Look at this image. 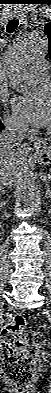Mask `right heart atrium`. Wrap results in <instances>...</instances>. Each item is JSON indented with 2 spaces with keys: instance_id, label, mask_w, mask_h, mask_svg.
<instances>
[{
  "instance_id": "right-heart-atrium-1",
  "label": "right heart atrium",
  "mask_w": 51,
  "mask_h": 393,
  "mask_svg": "<svg viewBox=\"0 0 51 393\" xmlns=\"http://www.w3.org/2000/svg\"><path fill=\"white\" fill-rule=\"evenodd\" d=\"M5 124L12 131L18 133H22L25 131V125L15 115L11 113H6Z\"/></svg>"
}]
</instances>
